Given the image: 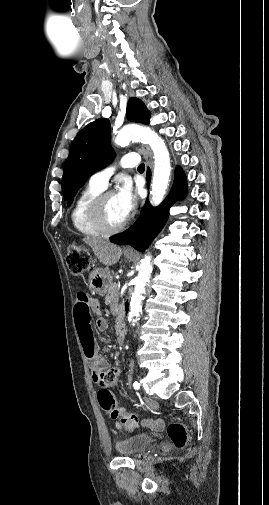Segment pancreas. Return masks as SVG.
Wrapping results in <instances>:
<instances>
[{
  "label": "pancreas",
  "instance_id": "obj_1",
  "mask_svg": "<svg viewBox=\"0 0 269 505\" xmlns=\"http://www.w3.org/2000/svg\"><path fill=\"white\" fill-rule=\"evenodd\" d=\"M106 296L108 297V303L110 305H117L118 304V300H119V288H118V285L116 283L112 284L109 287Z\"/></svg>",
  "mask_w": 269,
  "mask_h": 505
}]
</instances>
